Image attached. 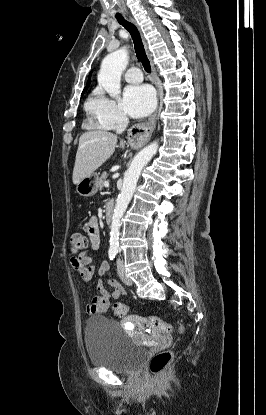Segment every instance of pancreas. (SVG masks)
<instances>
[{
    "label": "pancreas",
    "mask_w": 266,
    "mask_h": 415,
    "mask_svg": "<svg viewBox=\"0 0 266 415\" xmlns=\"http://www.w3.org/2000/svg\"><path fill=\"white\" fill-rule=\"evenodd\" d=\"M107 176H108L107 172H103V173L101 174V176H100V178H99V180H98V188H99V189L103 188V186H104V182L106 181Z\"/></svg>",
    "instance_id": "1"
}]
</instances>
